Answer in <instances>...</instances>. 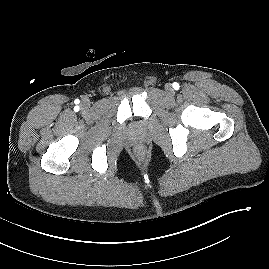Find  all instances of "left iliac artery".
Here are the masks:
<instances>
[{
  "mask_svg": "<svg viewBox=\"0 0 269 269\" xmlns=\"http://www.w3.org/2000/svg\"><path fill=\"white\" fill-rule=\"evenodd\" d=\"M173 88L177 90V89L179 88V84H178V83H176V82H175V83H173Z\"/></svg>",
  "mask_w": 269,
  "mask_h": 269,
  "instance_id": "left-iliac-artery-1",
  "label": "left iliac artery"
}]
</instances>
